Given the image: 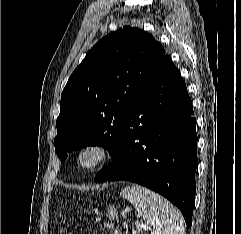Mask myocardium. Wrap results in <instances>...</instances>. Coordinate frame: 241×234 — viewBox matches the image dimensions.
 <instances>
[{"label":"myocardium","mask_w":241,"mask_h":234,"mask_svg":"<svg viewBox=\"0 0 241 234\" xmlns=\"http://www.w3.org/2000/svg\"><path fill=\"white\" fill-rule=\"evenodd\" d=\"M110 157L111 149L106 143L90 141L77 150L75 165L79 171L91 172L105 164Z\"/></svg>","instance_id":"obj_1"}]
</instances>
